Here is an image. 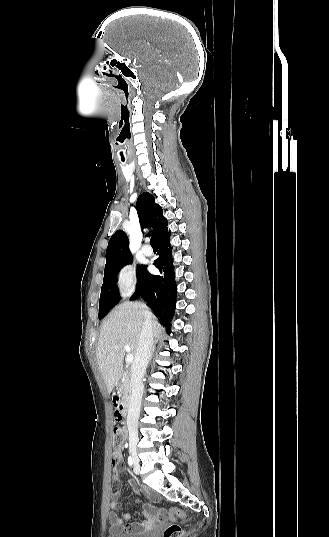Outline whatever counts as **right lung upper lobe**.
<instances>
[{"label":"right lung upper lobe","mask_w":329,"mask_h":537,"mask_svg":"<svg viewBox=\"0 0 329 537\" xmlns=\"http://www.w3.org/2000/svg\"><path fill=\"white\" fill-rule=\"evenodd\" d=\"M136 208L142 229L147 227L152 228L147 235H153L158 240L168 232V222L163 216V210L155 203V198L150 193L144 192L138 197ZM130 258L131 253L128 237L124 231L118 230L109 240L106 250L105 267Z\"/></svg>","instance_id":"right-lung-upper-lobe-1"}]
</instances>
